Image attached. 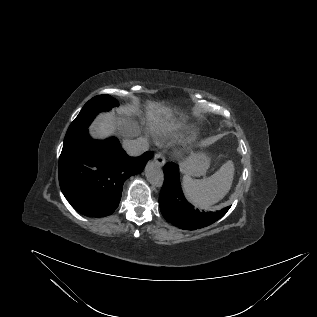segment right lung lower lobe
I'll list each match as a JSON object with an SVG mask.
<instances>
[{"label":"right lung lower lobe","instance_id":"obj_1","mask_svg":"<svg viewBox=\"0 0 317 317\" xmlns=\"http://www.w3.org/2000/svg\"><path fill=\"white\" fill-rule=\"evenodd\" d=\"M152 152L133 158L116 138L93 140L83 130L63 146L59 158L60 188L75 210L89 217L114 212L124 181L141 172Z\"/></svg>","mask_w":317,"mask_h":317}]
</instances>
